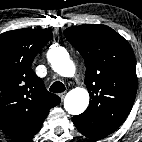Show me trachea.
<instances>
[{
    "mask_svg": "<svg viewBox=\"0 0 142 142\" xmlns=\"http://www.w3.org/2000/svg\"><path fill=\"white\" fill-rule=\"evenodd\" d=\"M49 90L53 93H61V92L65 91L66 88L62 82L56 81L51 85Z\"/></svg>",
    "mask_w": 142,
    "mask_h": 142,
    "instance_id": "obj_1",
    "label": "trachea"
}]
</instances>
